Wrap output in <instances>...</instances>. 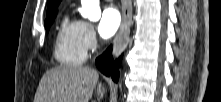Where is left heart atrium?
I'll use <instances>...</instances> for the list:
<instances>
[{
    "instance_id": "39dd6f15",
    "label": "left heart atrium",
    "mask_w": 221,
    "mask_h": 102,
    "mask_svg": "<svg viewBox=\"0 0 221 102\" xmlns=\"http://www.w3.org/2000/svg\"><path fill=\"white\" fill-rule=\"evenodd\" d=\"M122 23L121 14L114 6L104 9L99 23V33L103 38L113 36Z\"/></svg>"
}]
</instances>
